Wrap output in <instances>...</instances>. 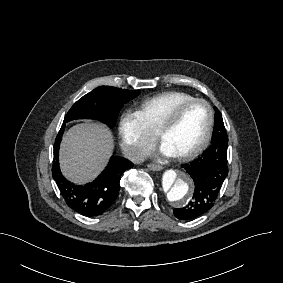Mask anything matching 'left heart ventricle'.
<instances>
[{"instance_id":"1","label":"left heart ventricle","mask_w":283,"mask_h":283,"mask_svg":"<svg viewBox=\"0 0 283 283\" xmlns=\"http://www.w3.org/2000/svg\"><path fill=\"white\" fill-rule=\"evenodd\" d=\"M208 123V111L202 103L188 106L174 126L162 137V147L175 157L196 147L202 139Z\"/></svg>"}]
</instances>
